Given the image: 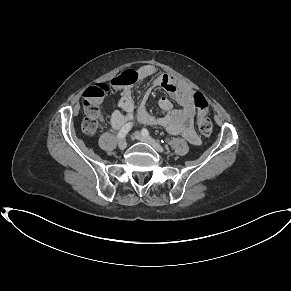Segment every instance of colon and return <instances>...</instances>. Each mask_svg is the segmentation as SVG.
<instances>
[{
  "instance_id": "obj_1",
  "label": "colon",
  "mask_w": 291,
  "mask_h": 291,
  "mask_svg": "<svg viewBox=\"0 0 291 291\" xmlns=\"http://www.w3.org/2000/svg\"><path fill=\"white\" fill-rule=\"evenodd\" d=\"M133 81L134 77L131 75L127 78L115 80L114 85L118 87L130 84ZM108 91L109 87L106 84L91 86L85 91L84 110L86 117L82 123L84 132L92 134L100 129L102 121L100 104ZM193 103L197 112L196 122L199 132L205 136L210 135L213 126L212 121L208 115L209 102L207 98L202 93L196 92L193 95Z\"/></svg>"
}]
</instances>
